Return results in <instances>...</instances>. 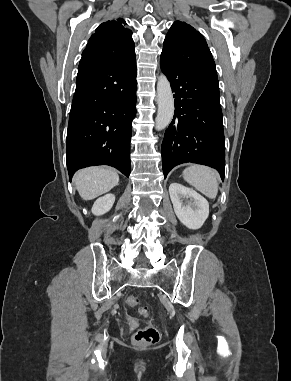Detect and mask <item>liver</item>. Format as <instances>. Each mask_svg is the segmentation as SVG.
Segmentation results:
<instances>
[{"label": "liver", "mask_w": 291, "mask_h": 381, "mask_svg": "<svg viewBox=\"0 0 291 381\" xmlns=\"http://www.w3.org/2000/svg\"><path fill=\"white\" fill-rule=\"evenodd\" d=\"M74 183L79 195L87 201L109 192L118 185L119 176L112 169L89 167L74 175Z\"/></svg>", "instance_id": "1"}]
</instances>
